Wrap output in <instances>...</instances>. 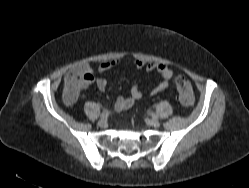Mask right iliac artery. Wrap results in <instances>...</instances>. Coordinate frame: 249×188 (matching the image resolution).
Returning a JSON list of instances; mask_svg holds the SVG:
<instances>
[{
    "label": "right iliac artery",
    "instance_id": "right-iliac-artery-1",
    "mask_svg": "<svg viewBox=\"0 0 249 188\" xmlns=\"http://www.w3.org/2000/svg\"><path fill=\"white\" fill-rule=\"evenodd\" d=\"M108 115H109V111L105 109V110L101 113V118H107Z\"/></svg>",
    "mask_w": 249,
    "mask_h": 188
}]
</instances>
